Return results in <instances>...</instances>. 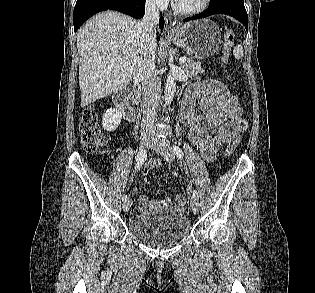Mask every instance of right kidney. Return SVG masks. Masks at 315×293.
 <instances>
[{
    "mask_svg": "<svg viewBox=\"0 0 315 293\" xmlns=\"http://www.w3.org/2000/svg\"><path fill=\"white\" fill-rule=\"evenodd\" d=\"M121 119H122L121 111L115 108L107 109L103 115L102 126L104 130L106 131H109V132L114 131L120 125Z\"/></svg>",
    "mask_w": 315,
    "mask_h": 293,
    "instance_id": "right-kidney-1",
    "label": "right kidney"
}]
</instances>
